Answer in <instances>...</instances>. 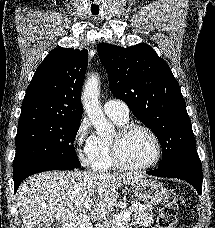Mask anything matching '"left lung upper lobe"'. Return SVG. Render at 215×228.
<instances>
[{"mask_svg": "<svg viewBox=\"0 0 215 228\" xmlns=\"http://www.w3.org/2000/svg\"><path fill=\"white\" fill-rule=\"evenodd\" d=\"M97 49L113 95L157 136L163 151L160 166L196 150L179 84L152 47L145 43L127 48L102 43Z\"/></svg>", "mask_w": 215, "mask_h": 228, "instance_id": "left-lung-upper-lobe-1", "label": "left lung upper lobe"}]
</instances>
